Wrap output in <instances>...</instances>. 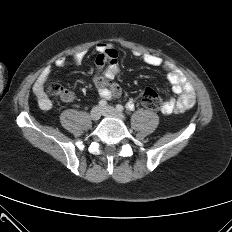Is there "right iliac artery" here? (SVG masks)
Returning a JSON list of instances; mask_svg holds the SVG:
<instances>
[{"instance_id":"obj_1","label":"right iliac artery","mask_w":232,"mask_h":232,"mask_svg":"<svg viewBox=\"0 0 232 232\" xmlns=\"http://www.w3.org/2000/svg\"><path fill=\"white\" fill-rule=\"evenodd\" d=\"M106 104H107V102L104 99L100 100V102H99L100 107H104V106H106Z\"/></svg>"}]
</instances>
